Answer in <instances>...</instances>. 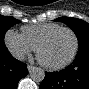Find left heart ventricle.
Returning <instances> with one entry per match:
<instances>
[{"label":"left heart ventricle","instance_id":"1","mask_svg":"<svg viewBox=\"0 0 89 89\" xmlns=\"http://www.w3.org/2000/svg\"><path fill=\"white\" fill-rule=\"evenodd\" d=\"M74 49V38L67 31L55 34L42 48L41 57L48 64H59L69 58Z\"/></svg>","mask_w":89,"mask_h":89}]
</instances>
